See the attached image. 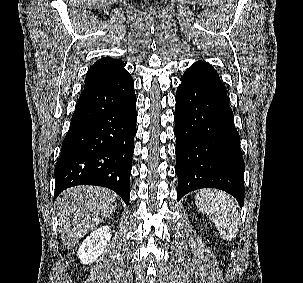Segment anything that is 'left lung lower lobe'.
Masks as SVG:
<instances>
[{
    "mask_svg": "<svg viewBox=\"0 0 303 283\" xmlns=\"http://www.w3.org/2000/svg\"><path fill=\"white\" fill-rule=\"evenodd\" d=\"M176 93L177 198L217 188L244 204L245 165L227 93L218 73L203 61L181 77Z\"/></svg>",
    "mask_w": 303,
    "mask_h": 283,
    "instance_id": "left-lung-lower-lobe-1",
    "label": "left lung lower lobe"
}]
</instances>
